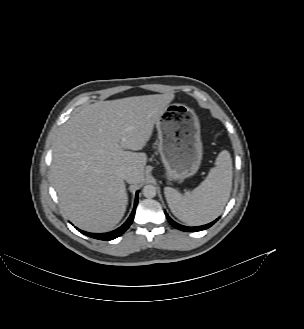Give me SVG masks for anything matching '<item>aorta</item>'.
Masks as SVG:
<instances>
[{
	"label": "aorta",
	"mask_w": 304,
	"mask_h": 329,
	"mask_svg": "<svg viewBox=\"0 0 304 329\" xmlns=\"http://www.w3.org/2000/svg\"><path fill=\"white\" fill-rule=\"evenodd\" d=\"M143 195L146 197V198H153L156 196V187L154 185H145L143 187Z\"/></svg>",
	"instance_id": "762f6f07"
}]
</instances>
